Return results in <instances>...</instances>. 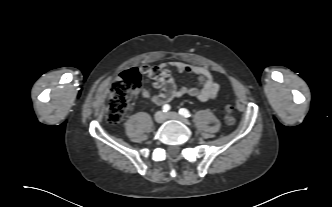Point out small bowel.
I'll return each instance as SVG.
<instances>
[{
	"label": "small bowel",
	"instance_id": "obj_1",
	"mask_svg": "<svg viewBox=\"0 0 332 207\" xmlns=\"http://www.w3.org/2000/svg\"><path fill=\"white\" fill-rule=\"evenodd\" d=\"M172 69L178 73H191L198 77L199 86H177L172 75ZM139 71L153 81L159 92L151 94L148 90L142 91V97L151 99L157 105H163L173 98L189 95L199 101L213 99L219 90L216 77L204 66L184 62L162 63L158 66L142 65Z\"/></svg>",
	"mask_w": 332,
	"mask_h": 207
}]
</instances>
